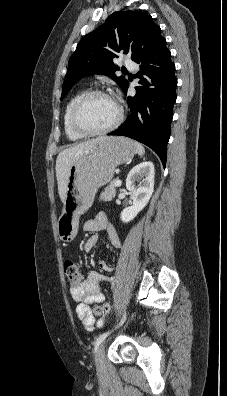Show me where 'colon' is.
<instances>
[{
    "label": "colon",
    "instance_id": "1",
    "mask_svg": "<svg viewBox=\"0 0 227 396\" xmlns=\"http://www.w3.org/2000/svg\"><path fill=\"white\" fill-rule=\"evenodd\" d=\"M64 272L67 277V279L72 283L73 285L79 284L82 280L81 273L77 267V265L71 261L68 260L64 263ZM111 306L108 303H104L101 305H98L94 308V313L98 316L101 315H106L110 312Z\"/></svg>",
    "mask_w": 227,
    "mask_h": 396
}]
</instances>
